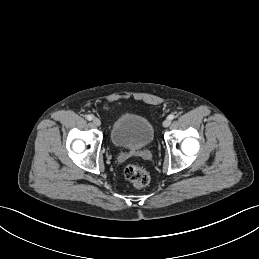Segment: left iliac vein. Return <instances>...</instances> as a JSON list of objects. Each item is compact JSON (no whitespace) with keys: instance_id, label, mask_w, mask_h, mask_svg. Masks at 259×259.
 Returning <instances> with one entry per match:
<instances>
[{"instance_id":"left-iliac-vein-1","label":"left iliac vein","mask_w":259,"mask_h":259,"mask_svg":"<svg viewBox=\"0 0 259 259\" xmlns=\"http://www.w3.org/2000/svg\"><path fill=\"white\" fill-rule=\"evenodd\" d=\"M171 124V120L170 119H165L163 121V127H168Z\"/></svg>"}]
</instances>
